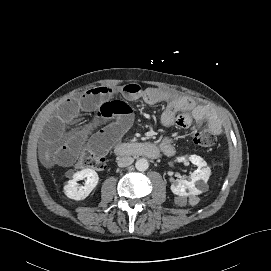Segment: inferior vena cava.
Listing matches in <instances>:
<instances>
[{
    "instance_id": "obj_1",
    "label": "inferior vena cava",
    "mask_w": 271,
    "mask_h": 271,
    "mask_svg": "<svg viewBox=\"0 0 271 271\" xmlns=\"http://www.w3.org/2000/svg\"><path fill=\"white\" fill-rule=\"evenodd\" d=\"M134 162V159L130 156H124L118 159V166L119 167H127Z\"/></svg>"
}]
</instances>
